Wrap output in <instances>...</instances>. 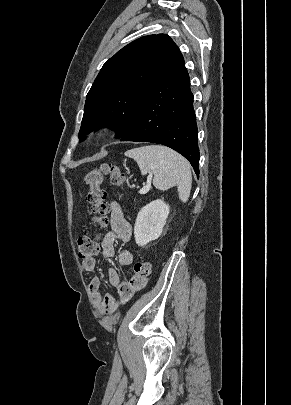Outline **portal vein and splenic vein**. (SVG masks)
<instances>
[{
  "label": "portal vein and splenic vein",
  "mask_w": 291,
  "mask_h": 405,
  "mask_svg": "<svg viewBox=\"0 0 291 405\" xmlns=\"http://www.w3.org/2000/svg\"><path fill=\"white\" fill-rule=\"evenodd\" d=\"M150 189V186H144L142 189H140L139 193L140 194H146Z\"/></svg>",
  "instance_id": "1"
}]
</instances>
